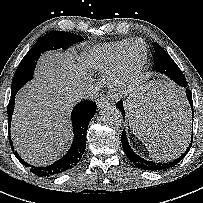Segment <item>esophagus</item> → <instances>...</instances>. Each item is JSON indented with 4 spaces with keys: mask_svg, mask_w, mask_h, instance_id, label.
<instances>
[{
    "mask_svg": "<svg viewBox=\"0 0 203 203\" xmlns=\"http://www.w3.org/2000/svg\"><path fill=\"white\" fill-rule=\"evenodd\" d=\"M111 102H112V101H111L110 99H108V98H100V99L97 101V107H98L99 109H102V108H104V107L110 105Z\"/></svg>",
    "mask_w": 203,
    "mask_h": 203,
    "instance_id": "esophagus-1",
    "label": "esophagus"
}]
</instances>
